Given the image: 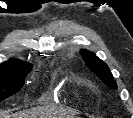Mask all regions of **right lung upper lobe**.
I'll list each match as a JSON object with an SVG mask.
<instances>
[{
    "mask_svg": "<svg viewBox=\"0 0 133 118\" xmlns=\"http://www.w3.org/2000/svg\"><path fill=\"white\" fill-rule=\"evenodd\" d=\"M33 67L32 64H29L27 62H23L17 59H10L9 61L3 62L0 64V69L5 68H18V67Z\"/></svg>",
    "mask_w": 133,
    "mask_h": 118,
    "instance_id": "1",
    "label": "right lung upper lobe"
}]
</instances>
